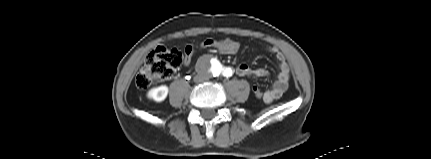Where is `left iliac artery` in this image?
I'll list each match as a JSON object with an SVG mask.
<instances>
[{"label": "left iliac artery", "mask_w": 431, "mask_h": 159, "mask_svg": "<svg viewBox=\"0 0 431 159\" xmlns=\"http://www.w3.org/2000/svg\"><path fill=\"white\" fill-rule=\"evenodd\" d=\"M232 70H231V68H225L224 70H223V75L224 76H226V77H229V76H231L232 75Z\"/></svg>", "instance_id": "obj_1"}]
</instances>
